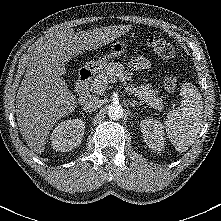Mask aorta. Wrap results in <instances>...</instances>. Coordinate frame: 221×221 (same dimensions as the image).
<instances>
[{
  "instance_id": "aorta-1",
  "label": "aorta",
  "mask_w": 221,
  "mask_h": 221,
  "mask_svg": "<svg viewBox=\"0 0 221 221\" xmlns=\"http://www.w3.org/2000/svg\"><path fill=\"white\" fill-rule=\"evenodd\" d=\"M123 115V108L121 105L114 104L111 105L108 109V116L112 120H118Z\"/></svg>"
}]
</instances>
